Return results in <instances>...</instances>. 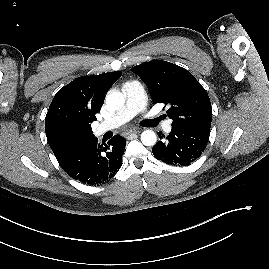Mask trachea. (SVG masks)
I'll use <instances>...</instances> for the list:
<instances>
[{"label":"trachea","mask_w":269,"mask_h":269,"mask_svg":"<svg viewBox=\"0 0 269 269\" xmlns=\"http://www.w3.org/2000/svg\"><path fill=\"white\" fill-rule=\"evenodd\" d=\"M160 118L157 119H149L147 120V123L152 124V125H156L159 122Z\"/></svg>","instance_id":"1"}]
</instances>
